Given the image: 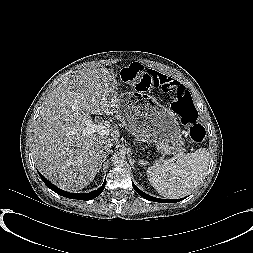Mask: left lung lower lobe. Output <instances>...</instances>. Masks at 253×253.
I'll return each instance as SVG.
<instances>
[{"label": "left lung lower lobe", "mask_w": 253, "mask_h": 253, "mask_svg": "<svg viewBox=\"0 0 253 253\" xmlns=\"http://www.w3.org/2000/svg\"><path fill=\"white\" fill-rule=\"evenodd\" d=\"M134 190L140 195L142 196L144 199L149 200V201H155V202H162V203H175L178 201H181L182 199H176V200H166V199H159V198H155L152 197L146 193H144L143 191H141L134 183H132Z\"/></svg>", "instance_id": "1"}]
</instances>
